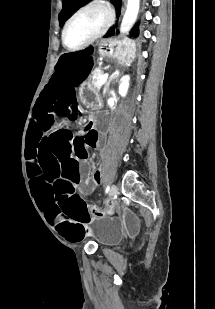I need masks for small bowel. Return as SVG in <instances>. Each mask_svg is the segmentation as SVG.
<instances>
[{
	"label": "small bowel",
	"mask_w": 215,
	"mask_h": 309,
	"mask_svg": "<svg viewBox=\"0 0 215 309\" xmlns=\"http://www.w3.org/2000/svg\"><path fill=\"white\" fill-rule=\"evenodd\" d=\"M87 129L90 131V133L93 135V138L91 139V141H92V145H97L98 144V137H97V135H96V133H95V128H94V124L92 123V122H89L88 123V125H87ZM106 209H108V210H110L111 211V213L113 212V210H114V203L113 202H108L107 203V208ZM110 213V214H111ZM97 217H99V216H97Z\"/></svg>",
	"instance_id": "obj_1"
}]
</instances>
